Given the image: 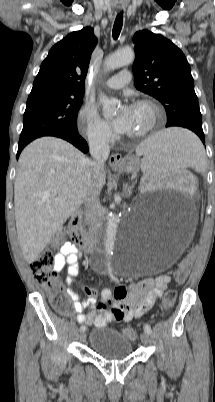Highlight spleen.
Masks as SVG:
<instances>
[{
	"instance_id": "3e777b00",
	"label": "spleen",
	"mask_w": 215,
	"mask_h": 402,
	"mask_svg": "<svg viewBox=\"0 0 215 402\" xmlns=\"http://www.w3.org/2000/svg\"><path fill=\"white\" fill-rule=\"evenodd\" d=\"M200 138L192 128H167L144 141L137 153L143 154L141 170L185 169L195 166L202 169L205 155Z\"/></svg>"
}]
</instances>
